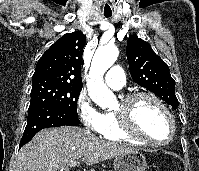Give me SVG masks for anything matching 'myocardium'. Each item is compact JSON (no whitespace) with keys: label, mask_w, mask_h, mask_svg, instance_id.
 Returning <instances> with one entry per match:
<instances>
[{"label":"myocardium","mask_w":199,"mask_h":171,"mask_svg":"<svg viewBox=\"0 0 199 171\" xmlns=\"http://www.w3.org/2000/svg\"><path fill=\"white\" fill-rule=\"evenodd\" d=\"M140 98L151 99L162 108V110L164 111L165 115L168 118L170 128H171V133L168 140L164 142L153 141L147 138L146 136H144L138 130L135 120H134L133 107H134L135 102ZM114 113L118 118L119 126L122 129V131L125 134L129 135L130 137L138 140L139 142H142L144 144L154 146V147H161V146H166L170 144L175 138L176 124H175V120L170 109L160 97H158L156 94L152 92L140 90V91H133V92L127 93L126 95L121 97L119 106L114 111Z\"/></svg>","instance_id":"myocardium-1"}]
</instances>
